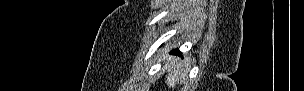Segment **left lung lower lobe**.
I'll list each match as a JSON object with an SVG mask.
<instances>
[{
  "label": "left lung lower lobe",
  "instance_id": "1",
  "mask_svg": "<svg viewBox=\"0 0 304 91\" xmlns=\"http://www.w3.org/2000/svg\"><path fill=\"white\" fill-rule=\"evenodd\" d=\"M171 53L177 54V55H181V52L177 49L173 50Z\"/></svg>",
  "mask_w": 304,
  "mask_h": 91
}]
</instances>
